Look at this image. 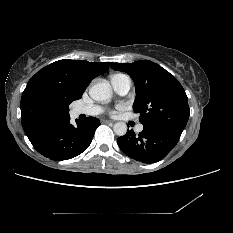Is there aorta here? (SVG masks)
I'll use <instances>...</instances> for the list:
<instances>
[{
	"mask_svg": "<svg viewBox=\"0 0 233 233\" xmlns=\"http://www.w3.org/2000/svg\"><path fill=\"white\" fill-rule=\"evenodd\" d=\"M89 95L96 101H106L112 96V88L109 82L104 80L94 84L89 90ZM113 130L116 135L123 136L127 133V125L124 122H117Z\"/></svg>",
	"mask_w": 233,
	"mask_h": 233,
	"instance_id": "aorta-1",
	"label": "aorta"
}]
</instances>
